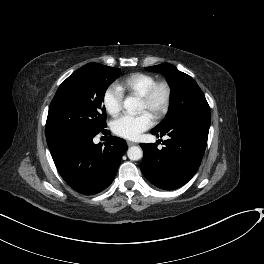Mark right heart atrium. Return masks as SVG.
<instances>
[{"mask_svg":"<svg viewBox=\"0 0 264 264\" xmlns=\"http://www.w3.org/2000/svg\"><path fill=\"white\" fill-rule=\"evenodd\" d=\"M102 102L104 108L110 115H118L122 109L123 103V93L121 89L117 86L108 87L103 94Z\"/></svg>","mask_w":264,"mask_h":264,"instance_id":"1","label":"right heart atrium"}]
</instances>
